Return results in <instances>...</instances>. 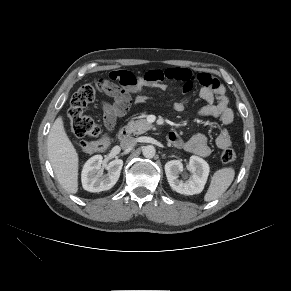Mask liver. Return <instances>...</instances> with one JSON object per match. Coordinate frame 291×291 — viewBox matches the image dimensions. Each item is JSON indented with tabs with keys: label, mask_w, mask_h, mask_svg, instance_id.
<instances>
[{
	"label": "liver",
	"mask_w": 291,
	"mask_h": 291,
	"mask_svg": "<svg viewBox=\"0 0 291 291\" xmlns=\"http://www.w3.org/2000/svg\"><path fill=\"white\" fill-rule=\"evenodd\" d=\"M48 158L60 185L71 194L78 191V153L68 138L62 116L53 123L47 140Z\"/></svg>",
	"instance_id": "liver-1"
}]
</instances>
